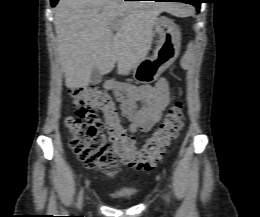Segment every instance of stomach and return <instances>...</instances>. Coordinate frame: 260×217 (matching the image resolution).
Here are the masks:
<instances>
[{"label":"stomach","instance_id":"1","mask_svg":"<svg viewBox=\"0 0 260 217\" xmlns=\"http://www.w3.org/2000/svg\"><path fill=\"white\" fill-rule=\"evenodd\" d=\"M153 28L159 41L152 57L144 58L131 69L136 82L142 84L154 82L175 61L180 51L179 32L170 19L159 17ZM129 72L120 74L128 75Z\"/></svg>","mask_w":260,"mask_h":217}]
</instances>
